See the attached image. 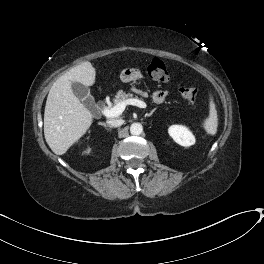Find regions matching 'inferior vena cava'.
<instances>
[{
  "mask_svg": "<svg viewBox=\"0 0 264 264\" xmlns=\"http://www.w3.org/2000/svg\"><path fill=\"white\" fill-rule=\"evenodd\" d=\"M124 123V121L122 119H111L107 121V124L110 127H119Z\"/></svg>",
  "mask_w": 264,
  "mask_h": 264,
  "instance_id": "inferior-vena-cava-1",
  "label": "inferior vena cava"
}]
</instances>
